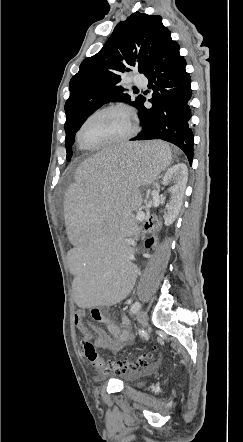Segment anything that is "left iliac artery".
I'll list each match as a JSON object with an SVG mask.
<instances>
[{"mask_svg":"<svg viewBox=\"0 0 243 442\" xmlns=\"http://www.w3.org/2000/svg\"><path fill=\"white\" fill-rule=\"evenodd\" d=\"M141 307V304L139 301H135L131 307H130V311L132 314H135Z\"/></svg>","mask_w":243,"mask_h":442,"instance_id":"left-iliac-artery-1","label":"left iliac artery"}]
</instances>
